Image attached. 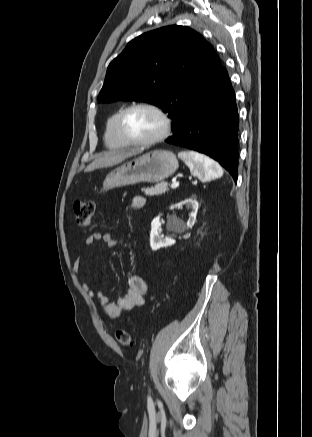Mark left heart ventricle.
<instances>
[{
	"label": "left heart ventricle",
	"mask_w": 312,
	"mask_h": 437,
	"mask_svg": "<svg viewBox=\"0 0 312 437\" xmlns=\"http://www.w3.org/2000/svg\"><path fill=\"white\" fill-rule=\"evenodd\" d=\"M124 129L131 138L145 140L156 136L161 131L162 121L150 109L137 108L126 116Z\"/></svg>",
	"instance_id": "1"
}]
</instances>
